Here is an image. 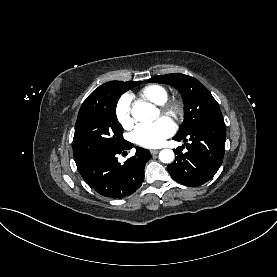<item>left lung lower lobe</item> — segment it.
Here are the masks:
<instances>
[{
	"label": "left lung lower lobe",
	"instance_id": "obj_1",
	"mask_svg": "<svg viewBox=\"0 0 277 277\" xmlns=\"http://www.w3.org/2000/svg\"><path fill=\"white\" fill-rule=\"evenodd\" d=\"M187 149L175 150L174 162L167 166L171 177L186 186L197 187L209 181L218 171L224 157L226 126L222 115H217L200 123L192 132L183 137ZM184 148V146H183Z\"/></svg>",
	"mask_w": 277,
	"mask_h": 277
}]
</instances>
